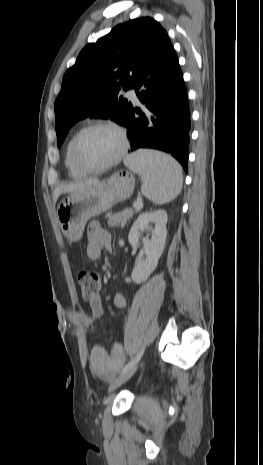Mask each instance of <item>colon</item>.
<instances>
[{
	"instance_id": "1",
	"label": "colon",
	"mask_w": 263,
	"mask_h": 465,
	"mask_svg": "<svg viewBox=\"0 0 263 465\" xmlns=\"http://www.w3.org/2000/svg\"><path fill=\"white\" fill-rule=\"evenodd\" d=\"M78 285L83 297L90 300L96 297L101 289V277L96 271L84 268L78 274Z\"/></svg>"
}]
</instances>
